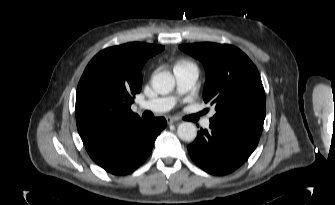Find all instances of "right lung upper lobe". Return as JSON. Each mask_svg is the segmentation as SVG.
Segmentation results:
<instances>
[{"label":"right lung upper lobe","instance_id":"cb5924a9","mask_svg":"<svg viewBox=\"0 0 335 205\" xmlns=\"http://www.w3.org/2000/svg\"><path fill=\"white\" fill-rule=\"evenodd\" d=\"M163 46L127 43L100 51L76 91V123L84 145L105 141L142 120L130 109L141 91L142 68Z\"/></svg>","mask_w":335,"mask_h":205}]
</instances>
